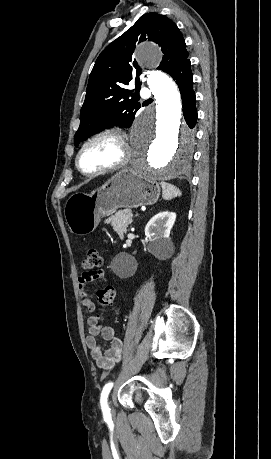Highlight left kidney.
Returning <instances> with one entry per match:
<instances>
[{
	"label": "left kidney",
	"mask_w": 271,
	"mask_h": 459,
	"mask_svg": "<svg viewBox=\"0 0 271 459\" xmlns=\"http://www.w3.org/2000/svg\"><path fill=\"white\" fill-rule=\"evenodd\" d=\"M175 220L174 212H159L146 224L145 235L149 239L148 249L153 255H161L170 249L172 241L169 235Z\"/></svg>",
	"instance_id": "5707ae66"
}]
</instances>
